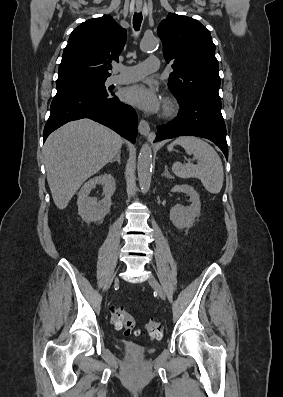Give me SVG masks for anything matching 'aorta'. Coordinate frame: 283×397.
I'll return each instance as SVG.
<instances>
[{
    "mask_svg": "<svg viewBox=\"0 0 283 397\" xmlns=\"http://www.w3.org/2000/svg\"><path fill=\"white\" fill-rule=\"evenodd\" d=\"M158 39L156 37H144L141 42L143 51H150L157 47ZM138 180L141 192L145 194L151 184L152 176V150L148 143L142 145L138 156Z\"/></svg>",
    "mask_w": 283,
    "mask_h": 397,
    "instance_id": "aorta-1",
    "label": "aorta"
}]
</instances>
